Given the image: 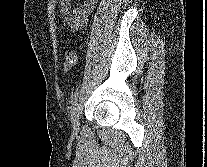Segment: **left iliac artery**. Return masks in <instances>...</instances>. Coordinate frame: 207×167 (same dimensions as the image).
I'll return each mask as SVG.
<instances>
[{
	"instance_id": "obj_1",
	"label": "left iliac artery",
	"mask_w": 207,
	"mask_h": 167,
	"mask_svg": "<svg viewBox=\"0 0 207 167\" xmlns=\"http://www.w3.org/2000/svg\"><path fill=\"white\" fill-rule=\"evenodd\" d=\"M78 96H79V89H76V91L71 95L72 106L76 104Z\"/></svg>"
}]
</instances>
